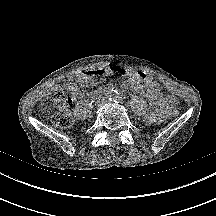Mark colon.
I'll use <instances>...</instances> for the list:
<instances>
[{
	"mask_svg": "<svg viewBox=\"0 0 216 216\" xmlns=\"http://www.w3.org/2000/svg\"><path fill=\"white\" fill-rule=\"evenodd\" d=\"M74 99V88L72 84L66 87H55L50 93V100L53 104L52 122L60 128H68L73 123V118L68 110L70 103ZM168 115L177 117L179 110L172 106L169 109Z\"/></svg>",
	"mask_w": 216,
	"mask_h": 216,
	"instance_id": "1",
	"label": "colon"
}]
</instances>
